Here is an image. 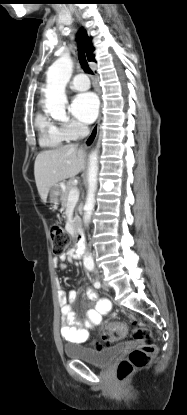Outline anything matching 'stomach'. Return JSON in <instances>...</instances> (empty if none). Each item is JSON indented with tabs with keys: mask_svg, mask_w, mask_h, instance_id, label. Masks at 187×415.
I'll list each match as a JSON object with an SVG mask.
<instances>
[{
	"mask_svg": "<svg viewBox=\"0 0 187 415\" xmlns=\"http://www.w3.org/2000/svg\"><path fill=\"white\" fill-rule=\"evenodd\" d=\"M61 194H62L61 184H55L54 186L50 188L49 203H51L53 207L58 206Z\"/></svg>",
	"mask_w": 187,
	"mask_h": 415,
	"instance_id": "1",
	"label": "stomach"
}]
</instances>
